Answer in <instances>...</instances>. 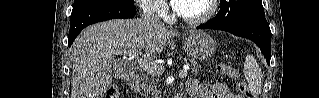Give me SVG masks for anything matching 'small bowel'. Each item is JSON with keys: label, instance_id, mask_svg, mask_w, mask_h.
I'll list each match as a JSON object with an SVG mask.
<instances>
[{"label": "small bowel", "instance_id": "1", "mask_svg": "<svg viewBox=\"0 0 319 98\" xmlns=\"http://www.w3.org/2000/svg\"><path fill=\"white\" fill-rule=\"evenodd\" d=\"M187 90L193 98H239L224 83L201 84L197 79H189Z\"/></svg>", "mask_w": 319, "mask_h": 98}]
</instances>
